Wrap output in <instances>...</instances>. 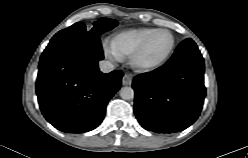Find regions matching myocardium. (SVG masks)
<instances>
[{
	"label": "myocardium",
	"mask_w": 248,
	"mask_h": 158,
	"mask_svg": "<svg viewBox=\"0 0 248 158\" xmlns=\"http://www.w3.org/2000/svg\"><path fill=\"white\" fill-rule=\"evenodd\" d=\"M160 32H165L169 34L171 37V44H170L168 51L165 53V55L161 59H159L158 61L154 63H150V64L142 63L140 59L142 55L144 54L149 41L155 34L160 33ZM175 44H176V40L171 31H169L168 29H163V28L155 29L145 37V39L142 41L139 47L130 56L131 66L139 72H152L160 68L161 66H163L168 61V59L170 58V56L172 55L174 51Z\"/></svg>",
	"instance_id": "1"
}]
</instances>
